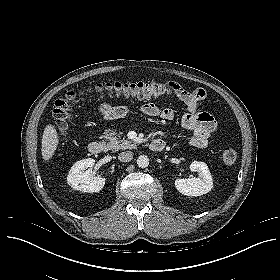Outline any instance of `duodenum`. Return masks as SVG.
Listing matches in <instances>:
<instances>
[{
  "label": "duodenum",
  "instance_id": "1",
  "mask_svg": "<svg viewBox=\"0 0 280 280\" xmlns=\"http://www.w3.org/2000/svg\"><path fill=\"white\" fill-rule=\"evenodd\" d=\"M165 143L162 139H154L150 143V149L155 152L162 151ZM105 144L102 141H92L88 144V151L94 155H100L104 152Z\"/></svg>",
  "mask_w": 280,
  "mask_h": 280
}]
</instances>
